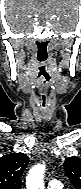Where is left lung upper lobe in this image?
<instances>
[{"instance_id": "5c2ea615", "label": "left lung upper lobe", "mask_w": 81, "mask_h": 189, "mask_svg": "<svg viewBox=\"0 0 81 189\" xmlns=\"http://www.w3.org/2000/svg\"><path fill=\"white\" fill-rule=\"evenodd\" d=\"M66 174L76 189H81V159L68 157L64 162Z\"/></svg>"}]
</instances>
